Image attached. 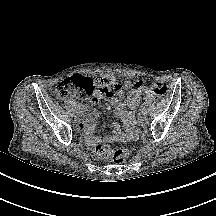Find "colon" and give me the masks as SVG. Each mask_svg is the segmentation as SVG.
<instances>
[{"instance_id": "obj_1", "label": "colon", "mask_w": 216, "mask_h": 216, "mask_svg": "<svg viewBox=\"0 0 216 216\" xmlns=\"http://www.w3.org/2000/svg\"><path fill=\"white\" fill-rule=\"evenodd\" d=\"M108 83L102 78L97 82L90 78L74 75L64 79L59 83L56 89V95L59 99L68 97L95 98L105 93ZM137 87L144 94H154L158 97H164L168 93V87L160 82L146 84L145 82H137ZM96 152L101 156L111 155L115 164H121L129 156L126 149L111 150L105 145H98Z\"/></svg>"}]
</instances>
